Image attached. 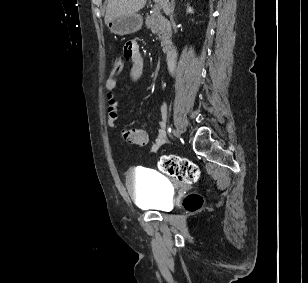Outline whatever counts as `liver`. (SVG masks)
Listing matches in <instances>:
<instances>
[{
	"mask_svg": "<svg viewBox=\"0 0 308 283\" xmlns=\"http://www.w3.org/2000/svg\"><path fill=\"white\" fill-rule=\"evenodd\" d=\"M156 1V0H154ZM164 8L169 0H158ZM146 4V0H108L105 14V24L113 21L118 16L131 15L141 10Z\"/></svg>",
	"mask_w": 308,
	"mask_h": 283,
	"instance_id": "liver-1",
	"label": "liver"
}]
</instances>
